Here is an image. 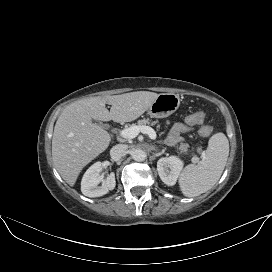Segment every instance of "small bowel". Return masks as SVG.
<instances>
[{
  "instance_id": "1",
  "label": "small bowel",
  "mask_w": 272,
  "mask_h": 272,
  "mask_svg": "<svg viewBox=\"0 0 272 272\" xmlns=\"http://www.w3.org/2000/svg\"><path fill=\"white\" fill-rule=\"evenodd\" d=\"M191 128L187 124L177 123L170 130L167 141L169 144H176L181 141L182 135L190 131Z\"/></svg>"
}]
</instances>
